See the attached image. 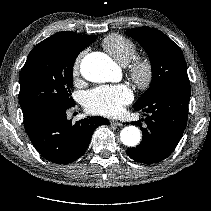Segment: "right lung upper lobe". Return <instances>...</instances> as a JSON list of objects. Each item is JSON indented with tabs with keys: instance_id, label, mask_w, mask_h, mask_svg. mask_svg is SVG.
I'll return each mask as SVG.
<instances>
[{
	"instance_id": "cb5924a9",
	"label": "right lung upper lobe",
	"mask_w": 211,
	"mask_h": 211,
	"mask_svg": "<svg viewBox=\"0 0 211 211\" xmlns=\"http://www.w3.org/2000/svg\"><path fill=\"white\" fill-rule=\"evenodd\" d=\"M95 39L94 35H79L70 31H62L45 39L44 42L57 51L80 50L81 52Z\"/></svg>"
}]
</instances>
